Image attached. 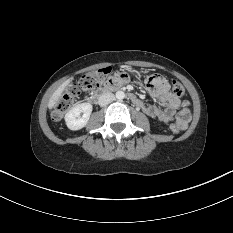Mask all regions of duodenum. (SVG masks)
Listing matches in <instances>:
<instances>
[{"instance_id": "1", "label": "duodenum", "mask_w": 233, "mask_h": 233, "mask_svg": "<svg viewBox=\"0 0 233 233\" xmlns=\"http://www.w3.org/2000/svg\"><path fill=\"white\" fill-rule=\"evenodd\" d=\"M115 87H116V85H112V86H107V87L103 88L99 93L91 96L90 101L93 103H96L103 94L108 93L109 91H111ZM129 97H130L131 101L134 104H136L137 106L140 104V100L135 95L130 94Z\"/></svg>"}]
</instances>
